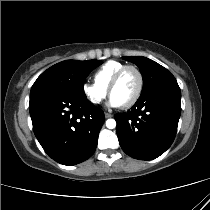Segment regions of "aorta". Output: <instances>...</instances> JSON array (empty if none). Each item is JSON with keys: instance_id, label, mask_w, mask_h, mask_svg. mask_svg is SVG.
<instances>
[{"instance_id": "aorta-1", "label": "aorta", "mask_w": 210, "mask_h": 210, "mask_svg": "<svg viewBox=\"0 0 210 210\" xmlns=\"http://www.w3.org/2000/svg\"><path fill=\"white\" fill-rule=\"evenodd\" d=\"M106 127L109 129H114L116 127V121L114 119H108L106 121Z\"/></svg>"}]
</instances>
